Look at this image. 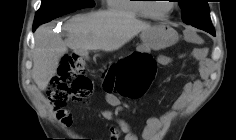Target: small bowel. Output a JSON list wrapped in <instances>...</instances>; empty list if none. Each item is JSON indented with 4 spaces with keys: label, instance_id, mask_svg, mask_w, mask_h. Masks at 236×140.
<instances>
[{
    "label": "small bowel",
    "instance_id": "small-bowel-1",
    "mask_svg": "<svg viewBox=\"0 0 236 140\" xmlns=\"http://www.w3.org/2000/svg\"><path fill=\"white\" fill-rule=\"evenodd\" d=\"M188 38L193 39L195 35L188 31ZM192 56L200 63V79H192L185 83L182 87L180 95L172 103L170 108L159 116H150L146 119L145 125L141 132V139L133 132L130 124L122 118L116 116L115 112L107 109L104 110L102 116L106 120L114 121L110 127V140H118L119 137L124 136V140H156L158 135H164L166 128L173 122L180 111H182L187 104L200 93L204 87V81L208 77L205 53L202 49L193 51ZM157 61L162 66H168L172 63V58L167 55H160ZM56 116L58 120L66 127H70L73 122L72 114L67 109H57Z\"/></svg>",
    "mask_w": 236,
    "mask_h": 140
}]
</instances>
